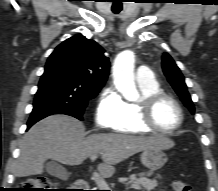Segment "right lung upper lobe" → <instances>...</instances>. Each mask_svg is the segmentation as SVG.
Here are the masks:
<instances>
[{"label": "right lung upper lobe", "mask_w": 218, "mask_h": 191, "mask_svg": "<svg viewBox=\"0 0 218 191\" xmlns=\"http://www.w3.org/2000/svg\"><path fill=\"white\" fill-rule=\"evenodd\" d=\"M46 66L62 68L90 85L103 87L110 63L99 44L77 34L56 47Z\"/></svg>", "instance_id": "cb5924a9"}]
</instances>
